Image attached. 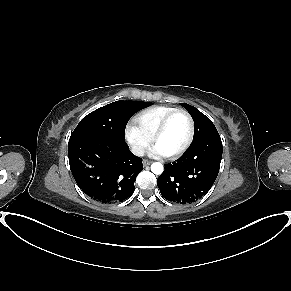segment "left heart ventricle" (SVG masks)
<instances>
[{"label":"left heart ventricle","mask_w":291,"mask_h":291,"mask_svg":"<svg viewBox=\"0 0 291 291\" xmlns=\"http://www.w3.org/2000/svg\"><path fill=\"white\" fill-rule=\"evenodd\" d=\"M189 135V122L184 114L175 115L168 123L165 132L158 139V147L165 155L178 151L184 146Z\"/></svg>","instance_id":"b2bd125f"}]
</instances>
